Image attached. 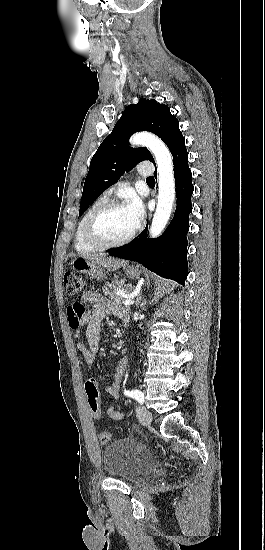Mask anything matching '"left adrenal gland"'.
Instances as JSON below:
<instances>
[{
    "mask_svg": "<svg viewBox=\"0 0 265 550\" xmlns=\"http://www.w3.org/2000/svg\"><path fill=\"white\" fill-rule=\"evenodd\" d=\"M138 303H139V304H141V303H142V297H141V294L139 295Z\"/></svg>",
    "mask_w": 265,
    "mask_h": 550,
    "instance_id": "a2214340",
    "label": "left adrenal gland"
}]
</instances>
